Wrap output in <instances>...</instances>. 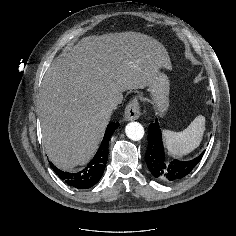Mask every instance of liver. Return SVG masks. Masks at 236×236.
I'll return each mask as SVG.
<instances>
[{
	"label": "liver",
	"instance_id": "1",
	"mask_svg": "<svg viewBox=\"0 0 236 236\" xmlns=\"http://www.w3.org/2000/svg\"><path fill=\"white\" fill-rule=\"evenodd\" d=\"M170 69L157 40L137 32L84 37L54 60L39 93L43 144L62 170L87 163L122 92L149 87L156 73Z\"/></svg>",
	"mask_w": 236,
	"mask_h": 236
}]
</instances>
